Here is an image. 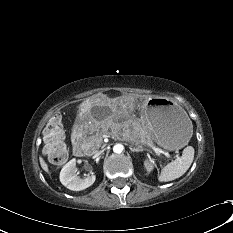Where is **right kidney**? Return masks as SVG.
Segmentation results:
<instances>
[{
  "label": "right kidney",
  "instance_id": "ca27d5eb",
  "mask_svg": "<svg viewBox=\"0 0 233 233\" xmlns=\"http://www.w3.org/2000/svg\"><path fill=\"white\" fill-rule=\"evenodd\" d=\"M76 172V159L73 158L63 166L60 172V182L73 191L84 190L95 182V175L92 174L86 178H80Z\"/></svg>",
  "mask_w": 233,
  "mask_h": 233
}]
</instances>
